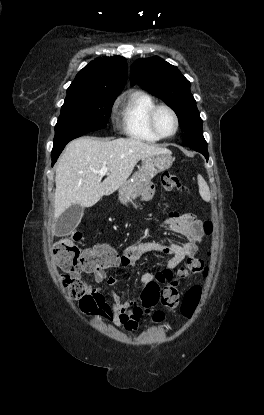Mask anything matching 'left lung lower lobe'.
Here are the masks:
<instances>
[{
    "label": "left lung lower lobe",
    "instance_id": "1",
    "mask_svg": "<svg viewBox=\"0 0 264 415\" xmlns=\"http://www.w3.org/2000/svg\"><path fill=\"white\" fill-rule=\"evenodd\" d=\"M183 146H188L190 148H192L193 150L200 152L201 154L204 155V157L206 158V160H208L209 155H208V150H207V142H203V143H183Z\"/></svg>",
    "mask_w": 264,
    "mask_h": 415
}]
</instances>
